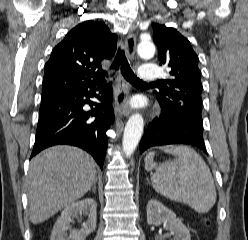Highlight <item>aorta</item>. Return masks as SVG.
Returning <instances> with one entry per match:
<instances>
[{
  "label": "aorta",
  "instance_id": "762f6f07",
  "mask_svg": "<svg viewBox=\"0 0 248 240\" xmlns=\"http://www.w3.org/2000/svg\"><path fill=\"white\" fill-rule=\"evenodd\" d=\"M141 58L149 59L155 54V46L150 40H142L137 47ZM144 121L139 113L133 114L126 123L122 146L126 157H130L135 151L143 134Z\"/></svg>",
  "mask_w": 248,
  "mask_h": 240
}]
</instances>
